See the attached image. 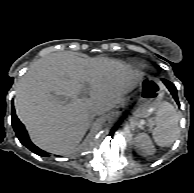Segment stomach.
Here are the masks:
<instances>
[{
	"label": "stomach",
	"mask_w": 194,
	"mask_h": 193,
	"mask_svg": "<svg viewBox=\"0 0 194 193\" xmlns=\"http://www.w3.org/2000/svg\"><path fill=\"white\" fill-rule=\"evenodd\" d=\"M138 99L134 110L136 117H147L160 105L164 96L163 87L159 80L145 78L138 85Z\"/></svg>",
	"instance_id": "1"
}]
</instances>
